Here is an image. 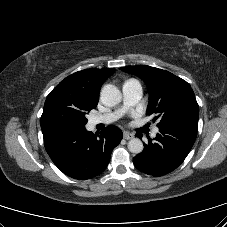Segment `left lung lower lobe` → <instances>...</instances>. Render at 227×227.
Masks as SVG:
<instances>
[{
	"instance_id": "1",
	"label": "left lung lower lobe",
	"mask_w": 227,
	"mask_h": 227,
	"mask_svg": "<svg viewBox=\"0 0 227 227\" xmlns=\"http://www.w3.org/2000/svg\"><path fill=\"white\" fill-rule=\"evenodd\" d=\"M136 136L142 137L137 134ZM197 133L182 128H159L154 139H149L144 150L133 158L141 172L162 176L175 170L190 152Z\"/></svg>"
}]
</instances>
